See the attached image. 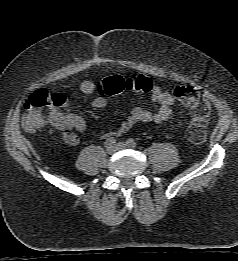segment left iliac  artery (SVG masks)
<instances>
[{"label": "left iliac artery", "mask_w": 238, "mask_h": 261, "mask_svg": "<svg viewBox=\"0 0 238 261\" xmlns=\"http://www.w3.org/2000/svg\"><path fill=\"white\" fill-rule=\"evenodd\" d=\"M127 145L129 147L135 148L137 146V143L134 141V139L130 138L126 141Z\"/></svg>", "instance_id": "obj_1"}]
</instances>
